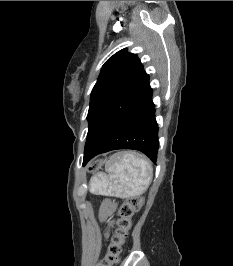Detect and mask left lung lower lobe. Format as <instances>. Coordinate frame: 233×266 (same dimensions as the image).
<instances>
[{"mask_svg":"<svg viewBox=\"0 0 233 266\" xmlns=\"http://www.w3.org/2000/svg\"><path fill=\"white\" fill-rule=\"evenodd\" d=\"M158 125L149 76L143 70L108 106L85 144L83 165L115 149H135L156 163Z\"/></svg>","mask_w":233,"mask_h":266,"instance_id":"obj_1","label":"left lung lower lobe"}]
</instances>
